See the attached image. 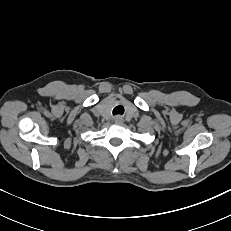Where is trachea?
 I'll return each mask as SVG.
<instances>
[{
    "label": "trachea",
    "instance_id": "3493384b",
    "mask_svg": "<svg viewBox=\"0 0 231 231\" xmlns=\"http://www.w3.org/2000/svg\"><path fill=\"white\" fill-rule=\"evenodd\" d=\"M123 113H124V107L121 105H118L113 109V115L123 114Z\"/></svg>",
    "mask_w": 231,
    "mask_h": 231
}]
</instances>
